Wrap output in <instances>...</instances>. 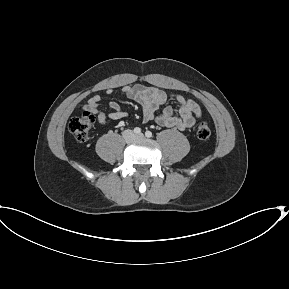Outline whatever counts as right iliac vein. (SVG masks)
<instances>
[{
	"instance_id": "1",
	"label": "right iliac vein",
	"mask_w": 289,
	"mask_h": 289,
	"mask_svg": "<svg viewBox=\"0 0 289 289\" xmlns=\"http://www.w3.org/2000/svg\"><path fill=\"white\" fill-rule=\"evenodd\" d=\"M123 136H124L125 140L128 142L132 141L134 139V135L130 130L125 131Z\"/></svg>"
}]
</instances>
